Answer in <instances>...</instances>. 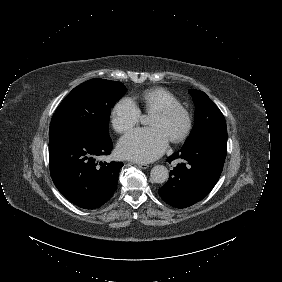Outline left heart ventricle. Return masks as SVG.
Masks as SVG:
<instances>
[{"instance_id": "left-heart-ventricle-1", "label": "left heart ventricle", "mask_w": 282, "mask_h": 282, "mask_svg": "<svg viewBox=\"0 0 282 282\" xmlns=\"http://www.w3.org/2000/svg\"><path fill=\"white\" fill-rule=\"evenodd\" d=\"M149 125L151 127H159L166 136L170 138L181 128L182 121L179 116L165 118L156 114H151Z\"/></svg>"}]
</instances>
